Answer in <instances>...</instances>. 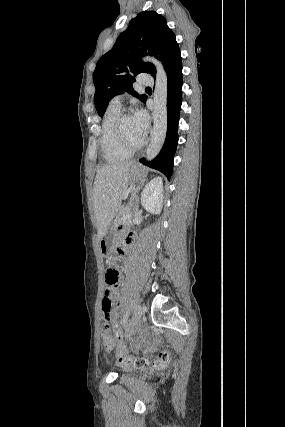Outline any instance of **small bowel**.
Returning <instances> with one entry per match:
<instances>
[{"label": "small bowel", "mask_w": 285, "mask_h": 427, "mask_svg": "<svg viewBox=\"0 0 285 427\" xmlns=\"http://www.w3.org/2000/svg\"><path fill=\"white\" fill-rule=\"evenodd\" d=\"M122 307L120 301V295L118 288L112 289L109 293H106L101 302V309L106 316L110 312H116V310Z\"/></svg>", "instance_id": "c3829d8e"}]
</instances>
